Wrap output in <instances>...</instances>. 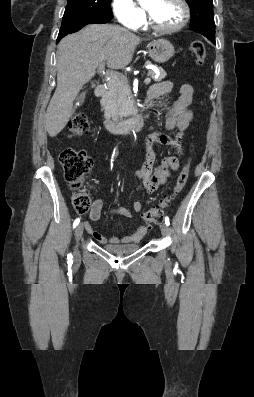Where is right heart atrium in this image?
I'll return each mask as SVG.
<instances>
[{
	"mask_svg": "<svg viewBox=\"0 0 254 397\" xmlns=\"http://www.w3.org/2000/svg\"><path fill=\"white\" fill-rule=\"evenodd\" d=\"M111 7L116 19L127 28L136 29L145 19L144 12L133 0H112Z\"/></svg>",
	"mask_w": 254,
	"mask_h": 397,
	"instance_id": "1",
	"label": "right heart atrium"
}]
</instances>
